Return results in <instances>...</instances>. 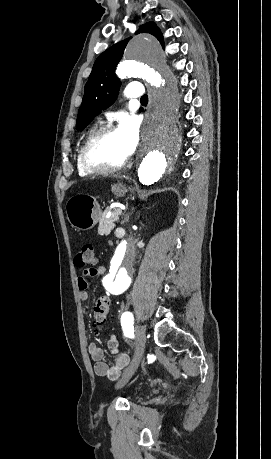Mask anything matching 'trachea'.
Masks as SVG:
<instances>
[{"mask_svg": "<svg viewBox=\"0 0 271 459\" xmlns=\"http://www.w3.org/2000/svg\"><path fill=\"white\" fill-rule=\"evenodd\" d=\"M141 103L147 105V103H148V96L147 95H143L141 97Z\"/></svg>", "mask_w": 271, "mask_h": 459, "instance_id": "1", "label": "trachea"}]
</instances>
